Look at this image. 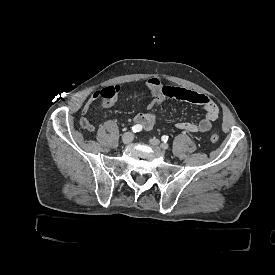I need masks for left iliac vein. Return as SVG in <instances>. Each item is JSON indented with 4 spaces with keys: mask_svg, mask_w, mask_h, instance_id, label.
Masks as SVG:
<instances>
[{
    "mask_svg": "<svg viewBox=\"0 0 275 275\" xmlns=\"http://www.w3.org/2000/svg\"><path fill=\"white\" fill-rule=\"evenodd\" d=\"M150 143L153 145V146H156V147H161L163 149H168L169 145L166 144V143H161L157 138L153 137L150 139Z\"/></svg>",
    "mask_w": 275,
    "mask_h": 275,
    "instance_id": "1",
    "label": "left iliac vein"
}]
</instances>
